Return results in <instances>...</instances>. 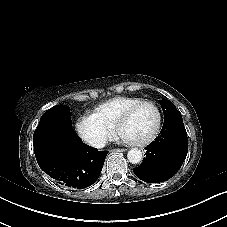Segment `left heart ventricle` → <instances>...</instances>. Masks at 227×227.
<instances>
[{"instance_id": "obj_1", "label": "left heart ventricle", "mask_w": 227, "mask_h": 227, "mask_svg": "<svg viewBox=\"0 0 227 227\" xmlns=\"http://www.w3.org/2000/svg\"><path fill=\"white\" fill-rule=\"evenodd\" d=\"M154 123L155 114L153 109L143 106L134 113L126 130L139 138H143L152 131Z\"/></svg>"}]
</instances>
